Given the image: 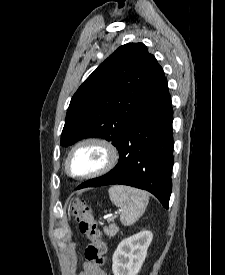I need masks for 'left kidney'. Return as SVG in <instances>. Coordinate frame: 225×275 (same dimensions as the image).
Instances as JSON below:
<instances>
[{"instance_id":"left-kidney-1","label":"left kidney","mask_w":225,"mask_h":275,"mask_svg":"<svg viewBox=\"0 0 225 275\" xmlns=\"http://www.w3.org/2000/svg\"><path fill=\"white\" fill-rule=\"evenodd\" d=\"M152 239V232L142 231L122 240L113 254V274L137 275Z\"/></svg>"}]
</instances>
